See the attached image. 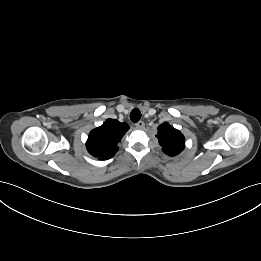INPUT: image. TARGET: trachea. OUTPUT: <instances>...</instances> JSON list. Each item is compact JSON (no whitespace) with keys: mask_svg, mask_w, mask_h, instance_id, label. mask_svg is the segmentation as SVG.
I'll use <instances>...</instances> for the list:
<instances>
[{"mask_svg":"<svg viewBox=\"0 0 261 261\" xmlns=\"http://www.w3.org/2000/svg\"><path fill=\"white\" fill-rule=\"evenodd\" d=\"M141 118V112L139 109L135 108L131 111L130 113V119L132 122L136 123L140 120Z\"/></svg>","mask_w":261,"mask_h":261,"instance_id":"1","label":"trachea"}]
</instances>
